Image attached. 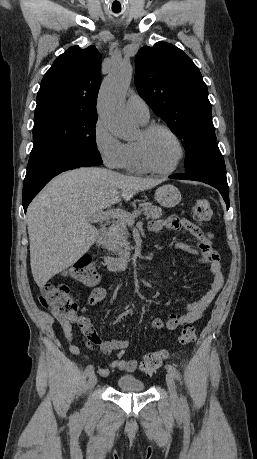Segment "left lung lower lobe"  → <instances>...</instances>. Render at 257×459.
I'll return each instance as SVG.
<instances>
[{
  "label": "left lung lower lobe",
  "mask_w": 257,
  "mask_h": 459,
  "mask_svg": "<svg viewBox=\"0 0 257 459\" xmlns=\"http://www.w3.org/2000/svg\"><path fill=\"white\" fill-rule=\"evenodd\" d=\"M219 154L221 155L220 150L218 149ZM222 160L224 161L222 155ZM172 179H183V180H193V181H200L206 184H209L216 189L219 190L221 193L224 201L226 202L227 209L229 208V192H228V184L226 179V168L225 166L219 168L217 166H211L203 171L197 173H182V174H175L170 176Z\"/></svg>",
  "instance_id": "1"
}]
</instances>
